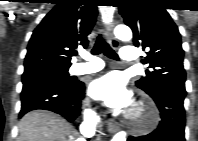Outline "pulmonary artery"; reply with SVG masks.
Instances as JSON below:
<instances>
[{
    "label": "pulmonary artery",
    "mask_w": 198,
    "mask_h": 141,
    "mask_svg": "<svg viewBox=\"0 0 198 141\" xmlns=\"http://www.w3.org/2000/svg\"><path fill=\"white\" fill-rule=\"evenodd\" d=\"M121 56L127 62H136L138 59V49L133 46H125L121 51ZM81 57L87 62L72 65L69 69L70 74L82 75L94 73L102 69L104 66L100 59L86 52L81 53Z\"/></svg>",
    "instance_id": "1"
}]
</instances>
